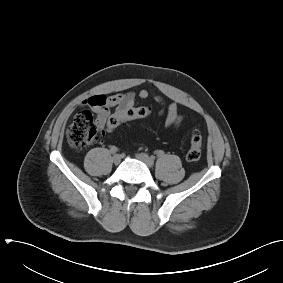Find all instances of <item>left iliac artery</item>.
Here are the masks:
<instances>
[{"label": "left iliac artery", "instance_id": "obj_1", "mask_svg": "<svg viewBox=\"0 0 283 283\" xmlns=\"http://www.w3.org/2000/svg\"><path fill=\"white\" fill-rule=\"evenodd\" d=\"M164 155V152L162 150H159L158 153H157V156L158 157H162ZM154 159V157H153Z\"/></svg>", "mask_w": 283, "mask_h": 283}]
</instances>
